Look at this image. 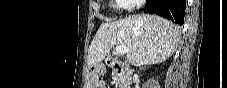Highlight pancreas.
<instances>
[{
    "label": "pancreas",
    "mask_w": 227,
    "mask_h": 88,
    "mask_svg": "<svg viewBox=\"0 0 227 88\" xmlns=\"http://www.w3.org/2000/svg\"><path fill=\"white\" fill-rule=\"evenodd\" d=\"M113 77L116 83L125 85V80L116 71H113Z\"/></svg>",
    "instance_id": "cf45deb5"
}]
</instances>
